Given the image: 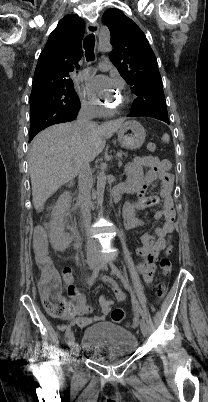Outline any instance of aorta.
<instances>
[{
	"mask_svg": "<svg viewBox=\"0 0 208 402\" xmlns=\"http://www.w3.org/2000/svg\"><path fill=\"white\" fill-rule=\"evenodd\" d=\"M106 174L103 171L99 172V176H98V180L96 182V191L95 194L97 196V202L98 204H103V197L105 196L106 192H107V182H106ZM102 255L104 257H107L109 255V252L107 251V249H104V251L102 252Z\"/></svg>",
	"mask_w": 208,
	"mask_h": 402,
	"instance_id": "1",
	"label": "aorta"
}]
</instances>
